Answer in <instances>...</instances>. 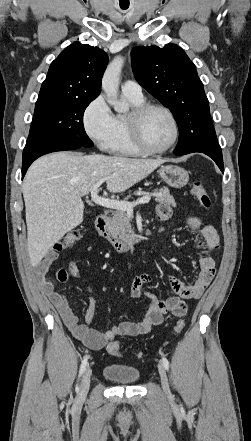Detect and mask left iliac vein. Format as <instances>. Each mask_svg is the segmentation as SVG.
Returning <instances> with one entry per match:
<instances>
[{"instance_id":"1","label":"left iliac vein","mask_w":251,"mask_h":441,"mask_svg":"<svg viewBox=\"0 0 251 441\" xmlns=\"http://www.w3.org/2000/svg\"><path fill=\"white\" fill-rule=\"evenodd\" d=\"M158 371H159L163 391L165 392L166 395L169 396V395H171V392H170V388H169L168 377H167V373L165 371V368L162 364L158 365Z\"/></svg>"}]
</instances>
